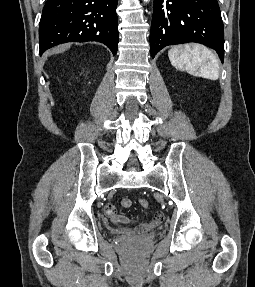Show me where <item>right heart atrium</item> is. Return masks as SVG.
Listing matches in <instances>:
<instances>
[{"label":"right heart atrium","instance_id":"right-heart-atrium-1","mask_svg":"<svg viewBox=\"0 0 255 287\" xmlns=\"http://www.w3.org/2000/svg\"><path fill=\"white\" fill-rule=\"evenodd\" d=\"M130 33H136V32H130ZM131 39H137V38H131Z\"/></svg>","mask_w":255,"mask_h":287}]
</instances>
